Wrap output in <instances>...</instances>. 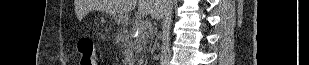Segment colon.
<instances>
[{
  "label": "colon",
  "mask_w": 309,
  "mask_h": 65,
  "mask_svg": "<svg viewBox=\"0 0 309 65\" xmlns=\"http://www.w3.org/2000/svg\"><path fill=\"white\" fill-rule=\"evenodd\" d=\"M78 51L81 65H97V55L91 38L82 37L78 41Z\"/></svg>",
  "instance_id": "1"
}]
</instances>
